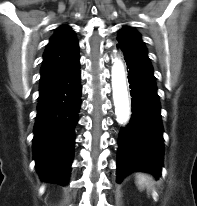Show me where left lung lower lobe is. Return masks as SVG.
I'll return each mask as SVG.
<instances>
[{"label": "left lung lower lobe", "instance_id": "1", "mask_svg": "<svg viewBox=\"0 0 197 206\" xmlns=\"http://www.w3.org/2000/svg\"><path fill=\"white\" fill-rule=\"evenodd\" d=\"M122 52L131 88L133 116L119 133L117 182L135 171L149 172L158 177L163 166L164 149L160 102L153 72Z\"/></svg>", "mask_w": 197, "mask_h": 206}]
</instances>
